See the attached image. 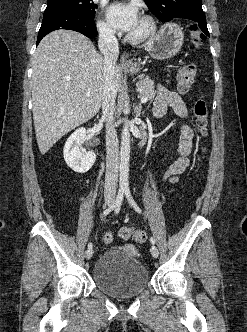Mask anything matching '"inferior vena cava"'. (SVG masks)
<instances>
[{
    "instance_id": "1",
    "label": "inferior vena cava",
    "mask_w": 247,
    "mask_h": 332,
    "mask_svg": "<svg viewBox=\"0 0 247 332\" xmlns=\"http://www.w3.org/2000/svg\"><path fill=\"white\" fill-rule=\"evenodd\" d=\"M98 46L104 56V86L102 98V119L106 121V174L105 200H113L116 196L119 169V144L117 132L113 125L114 106L117 95L115 84V63L119 56L118 41L114 32L109 29L100 30Z\"/></svg>"
}]
</instances>
